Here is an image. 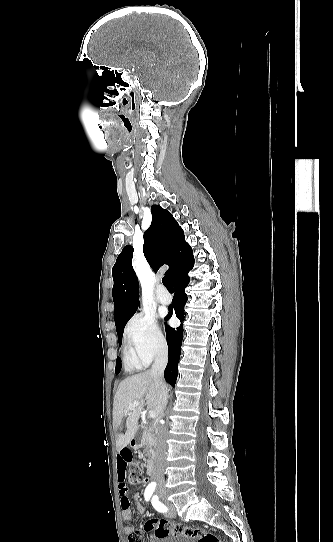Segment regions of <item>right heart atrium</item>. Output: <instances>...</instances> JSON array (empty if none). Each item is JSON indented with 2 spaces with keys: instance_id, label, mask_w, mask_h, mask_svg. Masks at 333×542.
Returning <instances> with one entry per match:
<instances>
[{
  "instance_id": "1",
  "label": "right heart atrium",
  "mask_w": 333,
  "mask_h": 542,
  "mask_svg": "<svg viewBox=\"0 0 333 542\" xmlns=\"http://www.w3.org/2000/svg\"><path fill=\"white\" fill-rule=\"evenodd\" d=\"M124 340L127 345L138 347L147 357L161 355L167 348L163 327L154 316L139 312L126 325Z\"/></svg>"
}]
</instances>
